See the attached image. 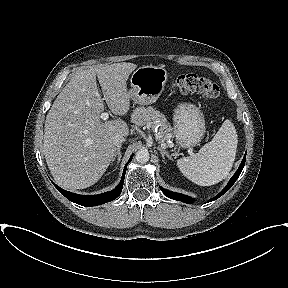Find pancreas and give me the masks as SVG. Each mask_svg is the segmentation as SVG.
Instances as JSON below:
<instances>
[{
    "instance_id": "pancreas-1",
    "label": "pancreas",
    "mask_w": 288,
    "mask_h": 288,
    "mask_svg": "<svg viewBox=\"0 0 288 288\" xmlns=\"http://www.w3.org/2000/svg\"><path fill=\"white\" fill-rule=\"evenodd\" d=\"M131 122L136 126L159 124V136L166 140L171 136L172 128L165 115L155 110L153 107H137L131 116Z\"/></svg>"
}]
</instances>
